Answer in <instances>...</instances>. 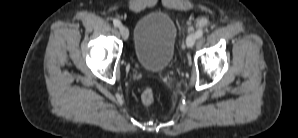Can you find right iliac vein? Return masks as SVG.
I'll use <instances>...</instances> for the list:
<instances>
[{
    "label": "right iliac vein",
    "mask_w": 298,
    "mask_h": 138,
    "mask_svg": "<svg viewBox=\"0 0 298 138\" xmlns=\"http://www.w3.org/2000/svg\"><path fill=\"white\" fill-rule=\"evenodd\" d=\"M119 31H120V34L122 35V37H123L124 39H127V38H128L129 31H128L127 27H125V26H120Z\"/></svg>",
    "instance_id": "1"
}]
</instances>
